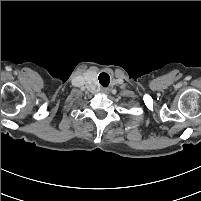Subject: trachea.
Masks as SVG:
<instances>
[{
    "instance_id": "3493384b",
    "label": "trachea",
    "mask_w": 201,
    "mask_h": 201,
    "mask_svg": "<svg viewBox=\"0 0 201 201\" xmlns=\"http://www.w3.org/2000/svg\"><path fill=\"white\" fill-rule=\"evenodd\" d=\"M102 86L107 87L110 82V77L107 73H101L98 77Z\"/></svg>"
}]
</instances>
